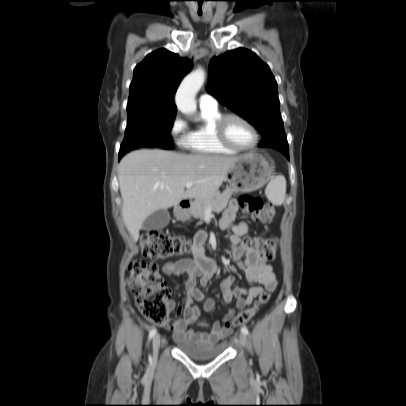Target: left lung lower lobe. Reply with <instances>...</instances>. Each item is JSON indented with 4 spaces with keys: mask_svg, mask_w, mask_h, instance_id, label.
Returning a JSON list of instances; mask_svg holds the SVG:
<instances>
[{
    "mask_svg": "<svg viewBox=\"0 0 406 406\" xmlns=\"http://www.w3.org/2000/svg\"><path fill=\"white\" fill-rule=\"evenodd\" d=\"M281 152L289 159V150H281Z\"/></svg>",
    "mask_w": 406,
    "mask_h": 406,
    "instance_id": "0a47b994",
    "label": "left lung lower lobe"
}]
</instances>
